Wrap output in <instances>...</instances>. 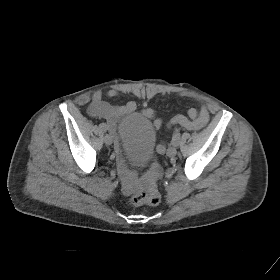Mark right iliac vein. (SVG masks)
Returning <instances> with one entry per match:
<instances>
[{
  "instance_id": "63e3f726",
  "label": "right iliac vein",
  "mask_w": 280,
  "mask_h": 280,
  "mask_svg": "<svg viewBox=\"0 0 280 280\" xmlns=\"http://www.w3.org/2000/svg\"><path fill=\"white\" fill-rule=\"evenodd\" d=\"M104 142L106 145H111L113 143V137L111 135H106L104 137Z\"/></svg>"
}]
</instances>
